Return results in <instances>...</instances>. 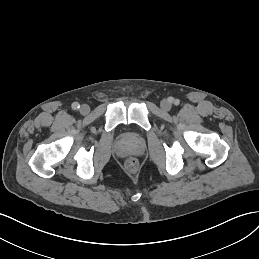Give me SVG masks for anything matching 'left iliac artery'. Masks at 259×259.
I'll list each match as a JSON object with an SVG mask.
<instances>
[{"label":"left iliac artery","mask_w":259,"mask_h":259,"mask_svg":"<svg viewBox=\"0 0 259 259\" xmlns=\"http://www.w3.org/2000/svg\"><path fill=\"white\" fill-rule=\"evenodd\" d=\"M175 105H178L179 104V100L176 99L175 102H174Z\"/></svg>","instance_id":"44dca946"}]
</instances>
